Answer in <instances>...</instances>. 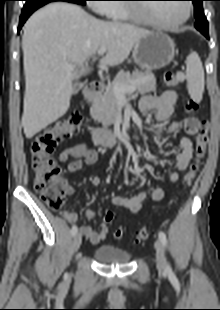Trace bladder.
<instances>
[{"instance_id":"obj_1","label":"bladder","mask_w":220,"mask_h":310,"mask_svg":"<svg viewBox=\"0 0 220 310\" xmlns=\"http://www.w3.org/2000/svg\"><path fill=\"white\" fill-rule=\"evenodd\" d=\"M94 259L101 264H126L131 253L114 245H103L93 250Z\"/></svg>"}]
</instances>
